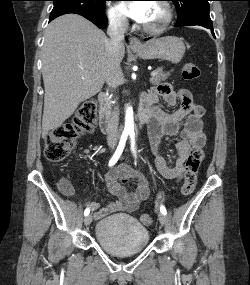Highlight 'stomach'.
<instances>
[{"instance_id":"obj_1","label":"stomach","mask_w":250,"mask_h":285,"mask_svg":"<svg viewBox=\"0 0 250 285\" xmlns=\"http://www.w3.org/2000/svg\"><path fill=\"white\" fill-rule=\"evenodd\" d=\"M134 53L142 59H163L176 64L185 53V45L181 38L165 36L148 41L141 50H134Z\"/></svg>"}]
</instances>
